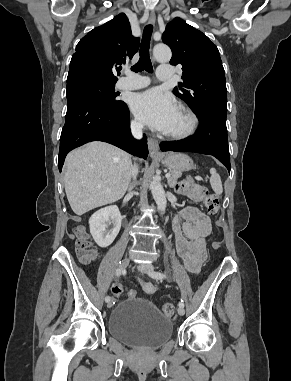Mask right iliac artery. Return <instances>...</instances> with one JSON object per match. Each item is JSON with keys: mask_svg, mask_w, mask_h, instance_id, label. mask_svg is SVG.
Segmentation results:
<instances>
[{"mask_svg": "<svg viewBox=\"0 0 291 381\" xmlns=\"http://www.w3.org/2000/svg\"><path fill=\"white\" fill-rule=\"evenodd\" d=\"M123 272H124V271H123L122 269L118 268V269L116 270V275H117V276H120ZM105 301H106V302H109V301H110V296H106Z\"/></svg>", "mask_w": 291, "mask_h": 381, "instance_id": "1", "label": "right iliac artery"}]
</instances>
